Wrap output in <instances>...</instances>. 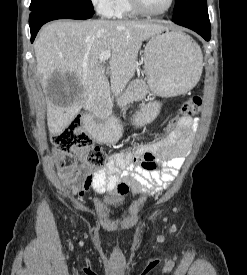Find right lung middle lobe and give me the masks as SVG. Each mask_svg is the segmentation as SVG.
I'll list each match as a JSON object with an SVG mask.
<instances>
[{"instance_id":"obj_1","label":"right lung middle lobe","mask_w":247,"mask_h":275,"mask_svg":"<svg viewBox=\"0 0 247 275\" xmlns=\"http://www.w3.org/2000/svg\"><path fill=\"white\" fill-rule=\"evenodd\" d=\"M45 8H66L72 11L94 14L91 0H31V11Z\"/></svg>"}]
</instances>
